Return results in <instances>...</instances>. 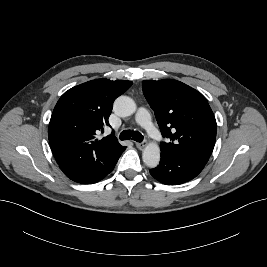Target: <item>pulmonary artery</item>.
Here are the masks:
<instances>
[{
	"mask_svg": "<svg viewBox=\"0 0 267 267\" xmlns=\"http://www.w3.org/2000/svg\"><path fill=\"white\" fill-rule=\"evenodd\" d=\"M136 122L144 127L151 137L157 138L159 136L158 131L152 122L151 115L145 108H140L138 110L136 114Z\"/></svg>",
	"mask_w": 267,
	"mask_h": 267,
	"instance_id": "e3ab8cb5",
	"label": "pulmonary artery"
}]
</instances>
